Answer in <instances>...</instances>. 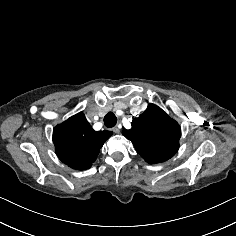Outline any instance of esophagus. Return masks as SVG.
Returning <instances> with one entry per match:
<instances>
[{
    "label": "esophagus",
    "instance_id": "obj_1",
    "mask_svg": "<svg viewBox=\"0 0 236 236\" xmlns=\"http://www.w3.org/2000/svg\"><path fill=\"white\" fill-rule=\"evenodd\" d=\"M113 132H115L116 134H119L120 133V128L118 126H115L113 128Z\"/></svg>",
    "mask_w": 236,
    "mask_h": 236
}]
</instances>
